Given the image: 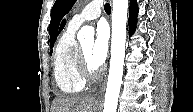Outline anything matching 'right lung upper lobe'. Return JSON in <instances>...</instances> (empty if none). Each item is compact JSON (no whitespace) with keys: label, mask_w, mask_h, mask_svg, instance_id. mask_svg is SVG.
<instances>
[{"label":"right lung upper lobe","mask_w":193,"mask_h":112,"mask_svg":"<svg viewBox=\"0 0 193 112\" xmlns=\"http://www.w3.org/2000/svg\"><path fill=\"white\" fill-rule=\"evenodd\" d=\"M64 25H65V21L62 22L61 27H60V31L63 29Z\"/></svg>","instance_id":"cb5924a9"}]
</instances>
